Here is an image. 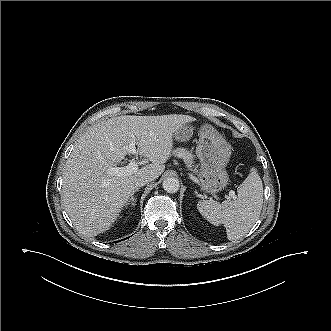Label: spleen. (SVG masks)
<instances>
[{"label": "spleen", "instance_id": "obj_1", "mask_svg": "<svg viewBox=\"0 0 331 331\" xmlns=\"http://www.w3.org/2000/svg\"><path fill=\"white\" fill-rule=\"evenodd\" d=\"M233 200L219 203L203 200L197 204L201 215L213 225L224 224L227 237L237 240L243 237L256 221L263 197V184L256 172H251L237 189Z\"/></svg>", "mask_w": 331, "mask_h": 331}]
</instances>
